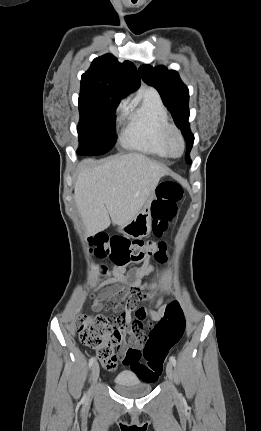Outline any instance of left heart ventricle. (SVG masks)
I'll list each match as a JSON object with an SVG mask.
<instances>
[{
	"instance_id": "left-heart-ventricle-1",
	"label": "left heart ventricle",
	"mask_w": 261,
	"mask_h": 431,
	"mask_svg": "<svg viewBox=\"0 0 261 431\" xmlns=\"http://www.w3.org/2000/svg\"><path fill=\"white\" fill-rule=\"evenodd\" d=\"M171 146L174 153L178 154L180 152V144L176 138L172 139Z\"/></svg>"
}]
</instances>
